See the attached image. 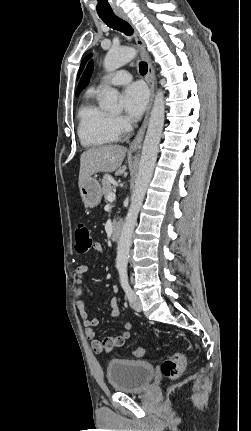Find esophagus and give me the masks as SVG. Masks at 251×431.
Returning a JSON list of instances; mask_svg holds the SVG:
<instances>
[{
    "label": "esophagus",
    "mask_w": 251,
    "mask_h": 431,
    "mask_svg": "<svg viewBox=\"0 0 251 431\" xmlns=\"http://www.w3.org/2000/svg\"><path fill=\"white\" fill-rule=\"evenodd\" d=\"M116 15L118 17H120L121 19L125 20L126 22H128L133 27L135 42L141 51L142 57L146 60L147 65H148L147 83H148L149 88H150V101H149V105H148V108L146 111L144 121H143L141 127L139 128L135 138L133 139V141L130 144V150L135 151V150L139 149L141 146V142L143 140V137H144V134H145V131L147 128L150 110L152 107V102H153V98H154V68H153L151 60L148 56V52L146 50V44H145L144 40L142 39V37L140 36V34L138 33V31L132 25L130 18L123 11H116Z\"/></svg>",
    "instance_id": "34e87169"
}]
</instances>
